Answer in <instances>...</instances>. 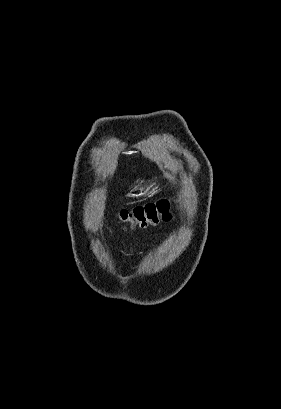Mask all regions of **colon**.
I'll use <instances>...</instances> for the list:
<instances>
[{
	"instance_id": "colon-1",
	"label": "colon",
	"mask_w": 281,
	"mask_h": 409,
	"mask_svg": "<svg viewBox=\"0 0 281 409\" xmlns=\"http://www.w3.org/2000/svg\"><path fill=\"white\" fill-rule=\"evenodd\" d=\"M169 208L170 200L164 198L156 202L124 208L119 212V217L130 227L146 228L158 224L161 220H168Z\"/></svg>"
}]
</instances>
